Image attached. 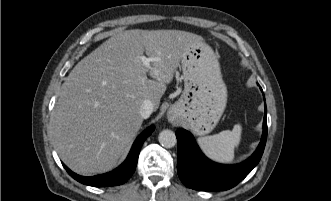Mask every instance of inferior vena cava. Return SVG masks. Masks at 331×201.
<instances>
[{"mask_svg":"<svg viewBox=\"0 0 331 201\" xmlns=\"http://www.w3.org/2000/svg\"><path fill=\"white\" fill-rule=\"evenodd\" d=\"M153 109V103L150 100H144L140 108V115L142 118L147 119L153 112Z\"/></svg>","mask_w":331,"mask_h":201,"instance_id":"obj_1","label":"inferior vena cava"}]
</instances>
